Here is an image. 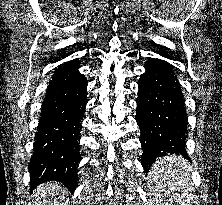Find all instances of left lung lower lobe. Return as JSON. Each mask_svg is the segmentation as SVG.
Listing matches in <instances>:
<instances>
[{"label":"left lung lower lobe","instance_id":"left-lung-lower-lobe-1","mask_svg":"<svg viewBox=\"0 0 222 205\" xmlns=\"http://www.w3.org/2000/svg\"><path fill=\"white\" fill-rule=\"evenodd\" d=\"M158 54L168 58L164 53ZM144 67L146 72L138 82L136 121L141 130V163L147 172L160 151L162 156L175 153L189 157L185 150L188 124L185 104L172 65L152 58Z\"/></svg>","mask_w":222,"mask_h":205}]
</instances>
